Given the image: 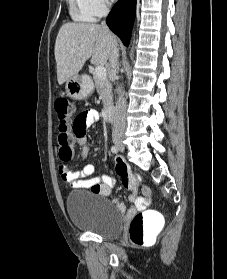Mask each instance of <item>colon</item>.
<instances>
[{
  "mask_svg": "<svg viewBox=\"0 0 227 279\" xmlns=\"http://www.w3.org/2000/svg\"><path fill=\"white\" fill-rule=\"evenodd\" d=\"M54 108L58 124L57 146L59 157L62 160H69L74 154L72 136L84 132L87 115L83 113L74 116L72 104L64 98L57 99L54 102ZM127 170L124 165L117 167L119 174ZM91 188L98 190L99 186L92 185ZM160 222V216L153 211L138 212L133 217L130 225L131 242L137 245L149 241L159 230Z\"/></svg>",
  "mask_w": 227,
  "mask_h": 279,
  "instance_id": "5ec220e1",
  "label": "colon"
}]
</instances>
